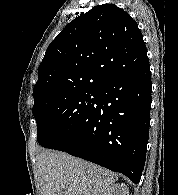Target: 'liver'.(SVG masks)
Listing matches in <instances>:
<instances>
[{"label": "liver", "mask_w": 178, "mask_h": 195, "mask_svg": "<svg viewBox=\"0 0 178 195\" xmlns=\"http://www.w3.org/2000/svg\"><path fill=\"white\" fill-rule=\"evenodd\" d=\"M41 195H101L117 175L66 153L43 150L37 158Z\"/></svg>", "instance_id": "liver-1"}]
</instances>
